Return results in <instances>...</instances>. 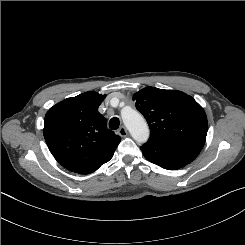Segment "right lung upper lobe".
<instances>
[{"mask_svg": "<svg viewBox=\"0 0 245 245\" xmlns=\"http://www.w3.org/2000/svg\"><path fill=\"white\" fill-rule=\"evenodd\" d=\"M105 95L85 92L51 107L44 138L54 158L69 171L90 174L108 162L121 138L107 129L97 111Z\"/></svg>", "mask_w": 245, "mask_h": 245, "instance_id": "obj_1", "label": "right lung upper lobe"}]
</instances>
